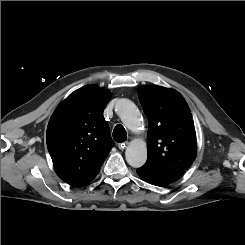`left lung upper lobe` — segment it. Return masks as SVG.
<instances>
[{"instance_id": "left-lung-upper-lobe-1", "label": "left lung upper lobe", "mask_w": 245, "mask_h": 245, "mask_svg": "<svg viewBox=\"0 0 245 245\" xmlns=\"http://www.w3.org/2000/svg\"><path fill=\"white\" fill-rule=\"evenodd\" d=\"M138 97L148 118L147 161L142 168L179 179L196 157V132L183 96L161 86H143Z\"/></svg>"}]
</instances>
